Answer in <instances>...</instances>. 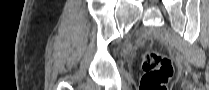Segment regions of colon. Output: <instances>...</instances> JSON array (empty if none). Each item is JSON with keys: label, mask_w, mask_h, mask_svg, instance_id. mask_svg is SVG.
Masks as SVG:
<instances>
[{"label": "colon", "mask_w": 209, "mask_h": 90, "mask_svg": "<svg viewBox=\"0 0 209 90\" xmlns=\"http://www.w3.org/2000/svg\"><path fill=\"white\" fill-rule=\"evenodd\" d=\"M142 69L139 90H168L174 73L169 57L157 51H146L142 56Z\"/></svg>", "instance_id": "obj_1"}]
</instances>
